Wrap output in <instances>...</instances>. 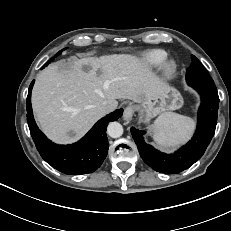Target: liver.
<instances>
[{
    "mask_svg": "<svg viewBox=\"0 0 231 231\" xmlns=\"http://www.w3.org/2000/svg\"><path fill=\"white\" fill-rule=\"evenodd\" d=\"M165 87L147 63L133 55L74 59L54 63L38 74L32 106L43 132L64 144L84 135L104 116L102 102L107 101L111 110L117 99L144 103Z\"/></svg>",
    "mask_w": 231,
    "mask_h": 231,
    "instance_id": "1",
    "label": "liver"
}]
</instances>
